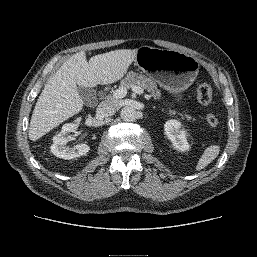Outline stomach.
<instances>
[{
    "label": "stomach",
    "instance_id": "stomach-1",
    "mask_svg": "<svg viewBox=\"0 0 257 257\" xmlns=\"http://www.w3.org/2000/svg\"><path fill=\"white\" fill-rule=\"evenodd\" d=\"M134 62L143 73L173 93L185 91L199 72L198 60L177 50L142 46Z\"/></svg>",
    "mask_w": 257,
    "mask_h": 257
}]
</instances>
